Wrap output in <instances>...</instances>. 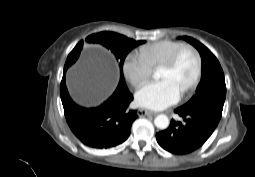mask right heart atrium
<instances>
[{"mask_svg": "<svg viewBox=\"0 0 255 177\" xmlns=\"http://www.w3.org/2000/svg\"><path fill=\"white\" fill-rule=\"evenodd\" d=\"M123 72L128 81L137 87L151 77L153 66L142 53L131 52L124 60Z\"/></svg>", "mask_w": 255, "mask_h": 177, "instance_id": "d8ad5b80", "label": "right heart atrium"}]
</instances>
